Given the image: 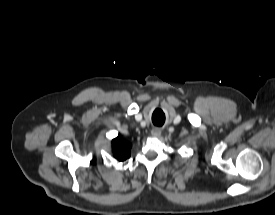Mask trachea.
<instances>
[{
  "mask_svg": "<svg viewBox=\"0 0 275 215\" xmlns=\"http://www.w3.org/2000/svg\"><path fill=\"white\" fill-rule=\"evenodd\" d=\"M154 125L161 126L164 123L163 118L159 114H154L152 117Z\"/></svg>",
  "mask_w": 275,
  "mask_h": 215,
  "instance_id": "1",
  "label": "trachea"
}]
</instances>
